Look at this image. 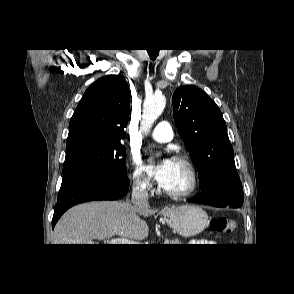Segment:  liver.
<instances>
[{
	"label": "liver",
	"instance_id": "1",
	"mask_svg": "<svg viewBox=\"0 0 294 294\" xmlns=\"http://www.w3.org/2000/svg\"><path fill=\"white\" fill-rule=\"evenodd\" d=\"M149 206L136 207L130 202L93 201L69 209L55 226L53 244H94L95 239L121 236L141 240L149 227L139 215L153 214Z\"/></svg>",
	"mask_w": 294,
	"mask_h": 294
}]
</instances>
